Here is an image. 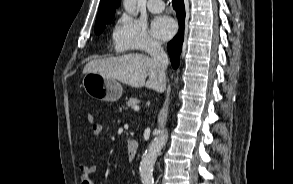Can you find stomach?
Wrapping results in <instances>:
<instances>
[{"label":"stomach","mask_w":293,"mask_h":184,"mask_svg":"<svg viewBox=\"0 0 293 184\" xmlns=\"http://www.w3.org/2000/svg\"><path fill=\"white\" fill-rule=\"evenodd\" d=\"M82 83L90 97L101 101L115 102L123 93V88L116 79L99 73H85Z\"/></svg>","instance_id":"0dacf381"}]
</instances>
